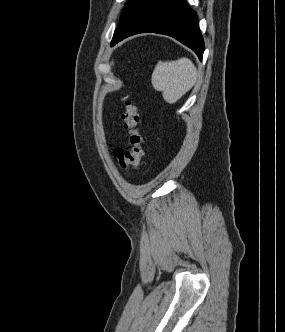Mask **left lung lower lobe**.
<instances>
[{
  "label": "left lung lower lobe",
  "instance_id": "obj_1",
  "mask_svg": "<svg viewBox=\"0 0 285 332\" xmlns=\"http://www.w3.org/2000/svg\"><path fill=\"white\" fill-rule=\"evenodd\" d=\"M154 32L171 36L191 48L202 60L204 41L196 13L186 0H152L112 42L134 34Z\"/></svg>",
  "mask_w": 285,
  "mask_h": 332
}]
</instances>
